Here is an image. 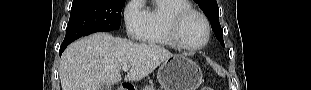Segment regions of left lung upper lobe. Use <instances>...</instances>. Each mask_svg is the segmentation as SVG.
I'll use <instances>...</instances> for the list:
<instances>
[{
    "label": "left lung upper lobe",
    "instance_id": "5c2ea615",
    "mask_svg": "<svg viewBox=\"0 0 311 90\" xmlns=\"http://www.w3.org/2000/svg\"><path fill=\"white\" fill-rule=\"evenodd\" d=\"M195 1L203 10L207 18L210 20L211 27L212 30L214 31V34L216 35V38L221 43V45L225 47L223 41V33L218 19L219 8L216 0H195Z\"/></svg>",
    "mask_w": 311,
    "mask_h": 90
}]
</instances>
